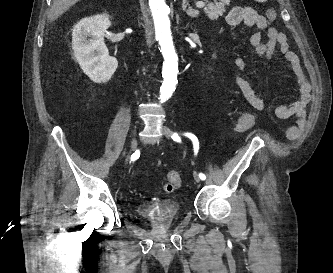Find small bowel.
<instances>
[{"instance_id":"1","label":"small bowel","mask_w":333,"mask_h":273,"mask_svg":"<svg viewBox=\"0 0 333 273\" xmlns=\"http://www.w3.org/2000/svg\"><path fill=\"white\" fill-rule=\"evenodd\" d=\"M226 24L230 27H239L246 25L248 27H255L260 31L266 30L267 39H263L261 32H255L249 38V44L252 46L256 53L269 59L275 49L279 51L286 58L289 68L294 72L298 87L300 98L298 101L282 105L276 109V114L280 118H288L296 116L298 122L296 126L291 129L290 135H294L299 130L303 123L304 108L306 106V98L304 96L306 89V78L300 67L299 60L296 54L290 49L286 36L274 27H269L268 18L259 14L255 9L250 6H233L225 15ZM236 70L233 73V80L242 93L246 101L257 111H265L267 103L264 99L260 98L250 84L240 75L241 72L246 71L247 64L243 58H236L234 60Z\"/></svg>"}]
</instances>
